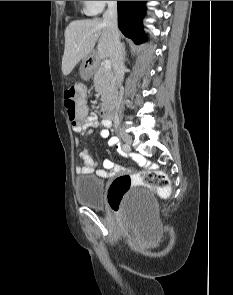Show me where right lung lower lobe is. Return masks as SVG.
Segmentation results:
<instances>
[{"mask_svg": "<svg viewBox=\"0 0 233 295\" xmlns=\"http://www.w3.org/2000/svg\"><path fill=\"white\" fill-rule=\"evenodd\" d=\"M146 1H118V26L122 33L135 43L143 41L142 18Z\"/></svg>", "mask_w": 233, "mask_h": 295, "instance_id": "obj_1", "label": "right lung lower lobe"}]
</instances>
